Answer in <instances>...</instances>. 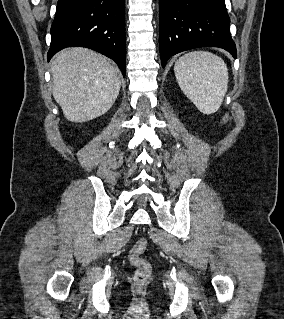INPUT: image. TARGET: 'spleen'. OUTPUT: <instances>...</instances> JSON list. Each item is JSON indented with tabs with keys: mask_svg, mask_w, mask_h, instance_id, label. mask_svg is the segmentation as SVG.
Instances as JSON below:
<instances>
[{
	"mask_svg": "<svg viewBox=\"0 0 284 319\" xmlns=\"http://www.w3.org/2000/svg\"><path fill=\"white\" fill-rule=\"evenodd\" d=\"M174 72L183 93L204 114L215 113L228 88V69L217 55L193 51L180 57Z\"/></svg>",
	"mask_w": 284,
	"mask_h": 319,
	"instance_id": "spleen-1",
	"label": "spleen"
}]
</instances>
